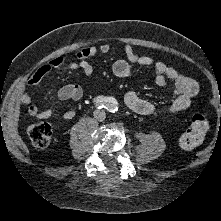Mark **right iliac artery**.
Returning <instances> with one entry per match:
<instances>
[{"mask_svg":"<svg viewBox=\"0 0 221 221\" xmlns=\"http://www.w3.org/2000/svg\"><path fill=\"white\" fill-rule=\"evenodd\" d=\"M94 104L98 109L109 107V98L104 96H98L94 99Z\"/></svg>","mask_w":221,"mask_h":221,"instance_id":"obj_1","label":"right iliac artery"}]
</instances>
